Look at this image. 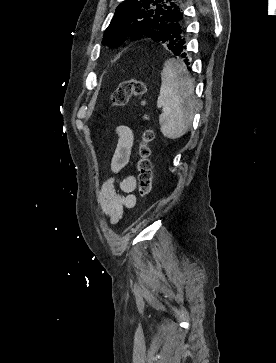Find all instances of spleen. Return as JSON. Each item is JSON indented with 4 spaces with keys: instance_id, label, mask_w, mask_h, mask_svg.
Wrapping results in <instances>:
<instances>
[{
    "instance_id": "spleen-1",
    "label": "spleen",
    "mask_w": 276,
    "mask_h": 363,
    "mask_svg": "<svg viewBox=\"0 0 276 363\" xmlns=\"http://www.w3.org/2000/svg\"><path fill=\"white\" fill-rule=\"evenodd\" d=\"M161 87L157 108L160 131L164 137L178 139L186 134L192 125L196 97L194 85L184 64L168 59L161 71Z\"/></svg>"
}]
</instances>
